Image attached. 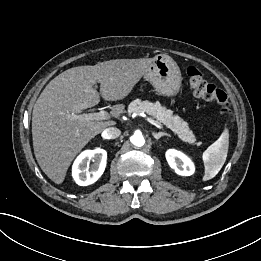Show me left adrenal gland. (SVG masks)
Wrapping results in <instances>:
<instances>
[{
    "instance_id": "left-adrenal-gland-1",
    "label": "left adrenal gland",
    "mask_w": 261,
    "mask_h": 261,
    "mask_svg": "<svg viewBox=\"0 0 261 261\" xmlns=\"http://www.w3.org/2000/svg\"><path fill=\"white\" fill-rule=\"evenodd\" d=\"M152 135L154 136V138L156 140H159L163 136L170 137V135L168 133H165V132H159V133L153 132Z\"/></svg>"
}]
</instances>
